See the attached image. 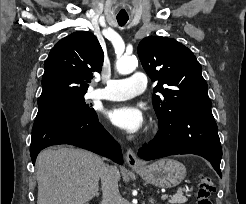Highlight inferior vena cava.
Masks as SVG:
<instances>
[{
    "label": "inferior vena cava",
    "instance_id": "602c4592",
    "mask_svg": "<svg viewBox=\"0 0 246 204\" xmlns=\"http://www.w3.org/2000/svg\"><path fill=\"white\" fill-rule=\"evenodd\" d=\"M116 167L105 165L101 173L102 204H120L121 196L116 178Z\"/></svg>",
    "mask_w": 246,
    "mask_h": 204
}]
</instances>
